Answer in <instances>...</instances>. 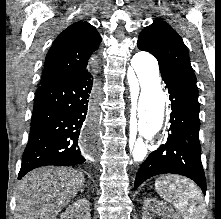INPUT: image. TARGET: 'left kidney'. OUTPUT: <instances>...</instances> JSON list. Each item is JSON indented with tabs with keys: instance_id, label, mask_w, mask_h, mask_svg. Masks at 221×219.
I'll return each mask as SVG.
<instances>
[{
	"instance_id": "1",
	"label": "left kidney",
	"mask_w": 221,
	"mask_h": 219,
	"mask_svg": "<svg viewBox=\"0 0 221 219\" xmlns=\"http://www.w3.org/2000/svg\"><path fill=\"white\" fill-rule=\"evenodd\" d=\"M155 213L160 214L162 219H179L174 211L166 206L162 201L155 198L146 199L143 205L142 219H152Z\"/></svg>"
}]
</instances>
